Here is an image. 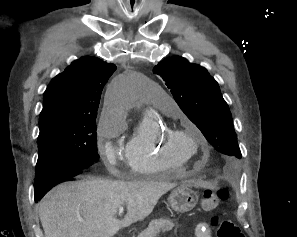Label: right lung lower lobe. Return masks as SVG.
Masks as SVG:
<instances>
[{
	"mask_svg": "<svg viewBox=\"0 0 297 237\" xmlns=\"http://www.w3.org/2000/svg\"><path fill=\"white\" fill-rule=\"evenodd\" d=\"M80 175H82V172H78L76 170H68V171L58 173L55 176L53 183L50 186L44 189L35 188L34 190L35 201L40 200L51 188H53L57 184L70 181V180H76L77 178H79Z\"/></svg>",
	"mask_w": 297,
	"mask_h": 237,
	"instance_id": "98d812e1",
	"label": "right lung lower lobe"
}]
</instances>
